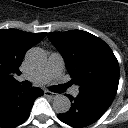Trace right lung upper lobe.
I'll use <instances>...</instances> for the list:
<instances>
[{
  "instance_id": "1",
  "label": "right lung upper lobe",
  "mask_w": 128,
  "mask_h": 128,
  "mask_svg": "<svg viewBox=\"0 0 128 128\" xmlns=\"http://www.w3.org/2000/svg\"><path fill=\"white\" fill-rule=\"evenodd\" d=\"M46 33H29L17 29L0 30V94L20 85L13 74H20L24 55L39 43Z\"/></svg>"
}]
</instances>
